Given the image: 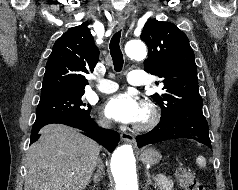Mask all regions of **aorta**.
Returning a JSON list of instances; mask_svg holds the SVG:
<instances>
[{"mask_svg":"<svg viewBox=\"0 0 238 190\" xmlns=\"http://www.w3.org/2000/svg\"><path fill=\"white\" fill-rule=\"evenodd\" d=\"M126 54L135 60L144 59L146 46L141 40H131L125 46ZM111 171L116 183V190H138L135 158L131 145L118 147L111 159Z\"/></svg>","mask_w":238,"mask_h":190,"instance_id":"obj_1","label":"aorta"}]
</instances>
